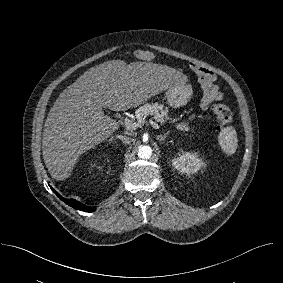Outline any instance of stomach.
Returning a JSON list of instances; mask_svg holds the SVG:
<instances>
[{
  "label": "stomach",
  "mask_w": 283,
  "mask_h": 283,
  "mask_svg": "<svg viewBox=\"0 0 283 283\" xmlns=\"http://www.w3.org/2000/svg\"><path fill=\"white\" fill-rule=\"evenodd\" d=\"M193 94L190 85L185 82H178L170 86L165 92V99L172 107H181L188 103Z\"/></svg>",
  "instance_id": "0dacf381"
}]
</instances>
